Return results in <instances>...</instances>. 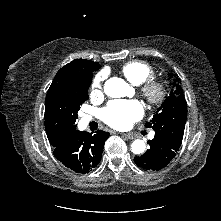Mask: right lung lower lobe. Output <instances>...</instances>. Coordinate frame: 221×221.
<instances>
[{"label": "right lung lower lobe", "mask_w": 221, "mask_h": 221, "mask_svg": "<svg viewBox=\"0 0 221 221\" xmlns=\"http://www.w3.org/2000/svg\"><path fill=\"white\" fill-rule=\"evenodd\" d=\"M108 137L102 130L95 134L75 130L65 142L54 146V155L65 167L86 174L99 164Z\"/></svg>", "instance_id": "obj_1"}]
</instances>
